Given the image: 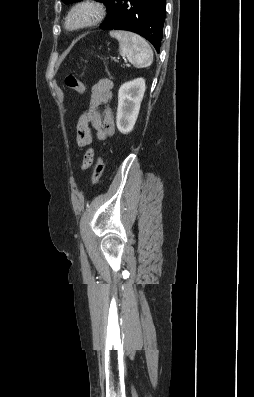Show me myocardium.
<instances>
[{"label":"myocardium","mask_w":254,"mask_h":397,"mask_svg":"<svg viewBox=\"0 0 254 397\" xmlns=\"http://www.w3.org/2000/svg\"><path fill=\"white\" fill-rule=\"evenodd\" d=\"M103 5L94 0H82L75 3L67 12L63 27L68 32H75L99 24L105 17Z\"/></svg>","instance_id":"1"}]
</instances>
